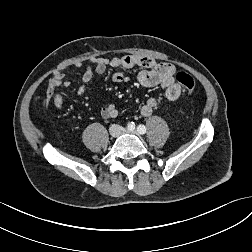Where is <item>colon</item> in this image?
<instances>
[{"instance_id":"colon-1","label":"colon","mask_w":252,"mask_h":252,"mask_svg":"<svg viewBox=\"0 0 252 252\" xmlns=\"http://www.w3.org/2000/svg\"><path fill=\"white\" fill-rule=\"evenodd\" d=\"M177 83L182 86L186 91L192 92L195 89V79L186 72H179L176 74Z\"/></svg>"}]
</instances>
